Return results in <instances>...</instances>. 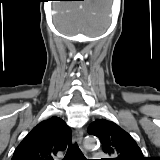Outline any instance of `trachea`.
<instances>
[{
    "mask_svg": "<svg viewBox=\"0 0 160 160\" xmlns=\"http://www.w3.org/2000/svg\"><path fill=\"white\" fill-rule=\"evenodd\" d=\"M65 160H85L78 145L68 147Z\"/></svg>",
    "mask_w": 160,
    "mask_h": 160,
    "instance_id": "1",
    "label": "trachea"
}]
</instances>
